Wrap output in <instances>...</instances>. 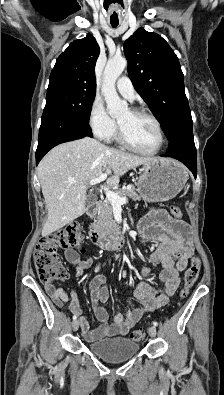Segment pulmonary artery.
<instances>
[{"instance_id":"obj_1","label":"pulmonary artery","mask_w":224,"mask_h":395,"mask_svg":"<svg viewBox=\"0 0 224 395\" xmlns=\"http://www.w3.org/2000/svg\"><path fill=\"white\" fill-rule=\"evenodd\" d=\"M116 87L119 93L128 100H133L135 98V90L131 80L126 77H120L116 82Z\"/></svg>"}]
</instances>
